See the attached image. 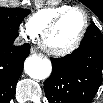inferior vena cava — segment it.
Instances as JSON below:
<instances>
[{
	"mask_svg": "<svg viewBox=\"0 0 103 103\" xmlns=\"http://www.w3.org/2000/svg\"><path fill=\"white\" fill-rule=\"evenodd\" d=\"M15 44L20 45L21 44L20 39H18V41Z\"/></svg>",
	"mask_w": 103,
	"mask_h": 103,
	"instance_id": "inferior-vena-cava-1",
	"label": "inferior vena cava"
}]
</instances>
